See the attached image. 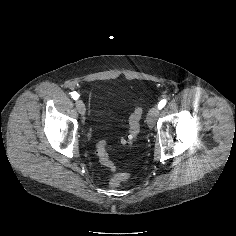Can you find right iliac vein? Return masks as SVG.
Returning a JSON list of instances; mask_svg holds the SVG:
<instances>
[{
	"instance_id": "1",
	"label": "right iliac vein",
	"mask_w": 236,
	"mask_h": 236,
	"mask_svg": "<svg viewBox=\"0 0 236 236\" xmlns=\"http://www.w3.org/2000/svg\"><path fill=\"white\" fill-rule=\"evenodd\" d=\"M75 104H76V108H77L78 112H79L82 116H84V115H85V112H86V108H85L84 102L79 99V100L76 101Z\"/></svg>"
}]
</instances>
